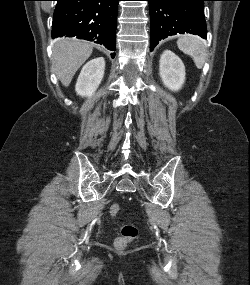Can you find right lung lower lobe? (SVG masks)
Here are the masks:
<instances>
[{
  "instance_id": "98d812e1",
  "label": "right lung lower lobe",
  "mask_w": 250,
  "mask_h": 285,
  "mask_svg": "<svg viewBox=\"0 0 250 285\" xmlns=\"http://www.w3.org/2000/svg\"><path fill=\"white\" fill-rule=\"evenodd\" d=\"M52 37L79 39L116 49V21L119 0H56ZM115 54H112L114 57Z\"/></svg>"
}]
</instances>
